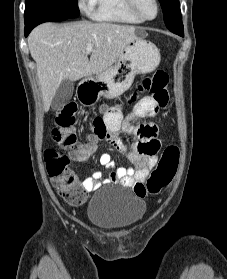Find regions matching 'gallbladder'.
I'll return each instance as SVG.
<instances>
[{"label": "gallbladder", "instance_id": "obj_1", "mask_svg": "<svg viewBox=\"0 0 227 279\" xmlns=\"http://www.w3.org/2000/svg\"><path fill=\"white\" fill-rule=\"evenodd\" d=\"M74 91V83L69 79H65L59 85L56 94L52 100L51 106L54 110H59L65 106L71 99Z\"/></svg>", "mask_w": 227, "mask_h": 279}]
</instances>
